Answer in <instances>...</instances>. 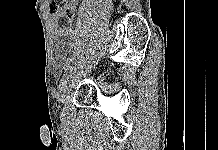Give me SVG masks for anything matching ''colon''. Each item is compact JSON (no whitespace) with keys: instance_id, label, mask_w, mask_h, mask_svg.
I'll return each mask as SVG.
<instances>
[{"instance_id":"colon-1","label":"colon","mask_w":218,"mask_h":150,"mask_svg":"<svg viewBox=\"0 0 218 150\" xmlns=\"http://www.w3.org/2000/svg\"><path fill=\"white\" fill-rule=\"evenodd\" d=\"M65 2V0H52L51 3V9H57L59 6H61L63 3Z\"/></svg>"}]
</instances>
